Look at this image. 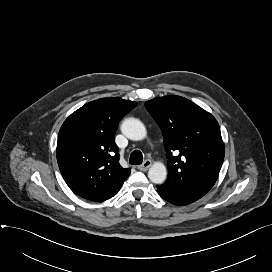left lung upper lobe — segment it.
Instances as JSON below:
<instances>
[{
  "label": "left lung upper lobe",
  "mask_w": 272,
  "mask_h": 272,
  "mask_svg": "<svg viewBox=\"0 0 272 272\" xmlns=\"http://www.w3.org/2000/svg\"><path fill=\"white\" fill-rule=\"evenodd\" d=\"M145 107L160 126L168 159L164 185L212 188L225 155L219 124L207 111L180 96L154 98Z\"/></svg>",
  "instance_id": "1"
}]
</instances>
